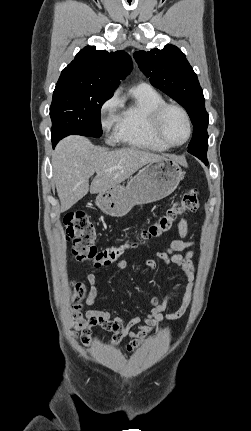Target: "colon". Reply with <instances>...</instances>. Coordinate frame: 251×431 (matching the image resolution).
<instances>
[{
  "instance_id": "5ec220e1",
  "label": "colon",
  "mask_w": 251,
  "mask_h": 431,
  "mask_svg": "<svg viewBox=\"0 0 251 431\" xmlns=\"http://www.w3.org/2000/svg\"><path fill=\"white\" fill-rule=\"evenodd\" d=\"M199 205L198 192L188 189L156 222L142 229L136 241L104 249H98L96 246L97 230L89 217L83 212H72L63 220L65 237L72 243V253L77 260L90 262L96 267L106 266L117 261L124 250L169 232L180 216L197 211ZM85 294L86 288L82 283L73 284L71 299L74 303L81 302Z\"/></svg>"
}]
</instances>
